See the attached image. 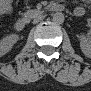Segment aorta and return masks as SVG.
<instances>
[{
	"label": "aorta",
	"instance_id": "1",
	"mask_svg": "<svg viewBox=\"0 0 91 91\" xmlns=\"http://www.w3.org/2000/svg\"><path fill=\"white\" fill-rule=\"evenodd\" d=\"M52 20L56 24H62L64 22V20H65L64 14L61 13V12H56L53 15V19Z\"/></svg>",
	"mask_w": 91,
	"mask_h": 91
}]
</instances>
